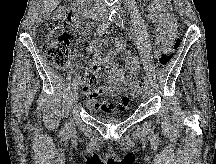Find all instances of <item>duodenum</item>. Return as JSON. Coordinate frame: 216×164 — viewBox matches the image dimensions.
<instances>
[{
    "label": "duodenum",
    "instance_id": "410a0bca",
    "mask_svg": "<svg viewBox=\"0 0 216 164\" xmlns=\"http://www.w3.org/2000/svg\"><path fill=\"white\" fill-rule=\"evenodd\" d=\"M70 3H71V6L72 8L86 16V17H89L92 13V7L91 5L88 3V0H70Z\"/></svg>",
    "mask_w": 216,
    "mask_h": 164
}]
</instances>
